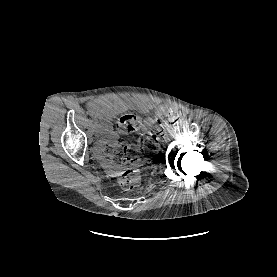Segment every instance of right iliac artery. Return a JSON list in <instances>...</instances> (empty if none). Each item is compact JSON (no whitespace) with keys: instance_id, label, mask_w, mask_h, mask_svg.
I'll return each mask as SVG.
<instances>
[{"instance_id":"1","label":"right iliac artery","mask_w":277,"mask_h":277,"mask_svg":"<svg viewBox=\"0 0 277 277\" xmlns=\"http://www.w3.org/2000/svg\"><path fill=\"white\" fill-rule=\"evenodd\" d=\"M93 129L94 131H99V125L97 124V122H94Z\"/></svg>"}]
</instances>
